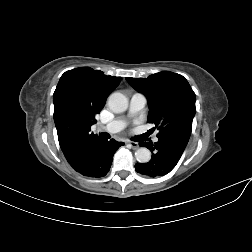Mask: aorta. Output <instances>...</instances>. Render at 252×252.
I'll list each match as a JSON object with an SVG mask.
<instances>
[{"instance_id":"aorta-1","label":"aorta","mask_w":252,"mask_h":252,"mask_svg":"<svg viewBox=\"0 0 252 252\" xmlns=\"http://www.w3.org/2000/svg\"><path fill=\"white\" fill-rule=\"evenodd\" d=\"M108 106L115 112H124L128 108L127 97L120 93L114 92L108 97ZM136 160L140 163H147L151 160V152L145 147H141L135 152Z\"/></svg>"}]
</instances>
